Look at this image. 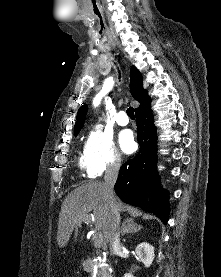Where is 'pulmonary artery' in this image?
<instances>
[{
    "mask_svg": "<svg viewBox=\"0 0 221 277\" xmlns=\"http://www.w3.org/2000/svg\"><path fill=\"white\" fill-rule=\"evenodd\" d=\"M116 122L120 126H126L129 123V119L124 111H119L116 115Z\"/></svg>",
    "mask_w": 221,
    "mask_h": 277,
    "instance_id": "e3ab8cb5",
    "label": "pulmonary artery"
}]
</instances>
